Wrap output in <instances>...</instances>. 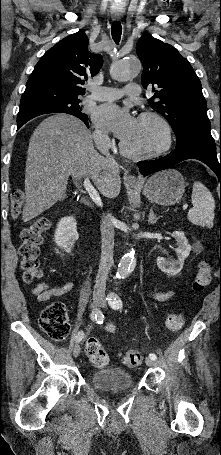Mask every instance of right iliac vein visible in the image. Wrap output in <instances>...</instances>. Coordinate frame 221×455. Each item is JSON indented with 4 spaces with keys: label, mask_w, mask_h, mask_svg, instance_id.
<instances>
[{
    "label": "right iliac vein",
    "mask_w": 221,
    "mask_h": 455,
    "mask_svg": "<svg viewBox=\"0 0 221 455\" xmlns=\"http://www.w3.org/2000/svg\"><path fill=\"white\" fill-rule=\"evenodd\" d=\"M93 301H94L95 304H99V303H101V302L103 301V296H101V295H95V296L93 297ZM79 354H80V346H79V344H76V345L74 346V348H73V356H74V357H78Z\"/></svg>",
    "instance_id": "right-iliac-vein-1"
}]
</instances>
